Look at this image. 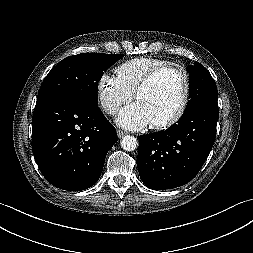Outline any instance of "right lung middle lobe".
I'll return each instance as SVG.
<instances>
[{
    "label": "right lung middle lobe",
    "instance_id": "1",
    "mask_svg": "<svg viewBox=\"0 0 253 253\" xmlns=\"http://www.w3.org/2000/svg\"><path fill=\"white\" fill-rule=\"evenodd\" d=\"M122 57V54L81 53L63 59L44 79L37 101L58 97L98 107V82L104 71Z\"/></svg>",
    "mask_w": 253,
    "mask_h": 253
}]
</instances>
